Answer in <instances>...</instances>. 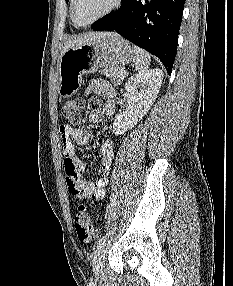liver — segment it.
<instances>
[{
    "label": "liver",
    "mask_w": 233,
    "mask_h": 286,
    "mask_svg": "<svg viewBox=\"0 0 233 286\" xmlns=\"http://www.w3.org/2000/svg\"><path fill=\"white\" fill-rule=\"evenodd\" d=\"M110 35H116V34L112 33V32H90V33L85 34L83 36L74 37L73 39H70L69 41H67L65 43L64 49H63L61 55L64 52H66L69 48L97 40L100 37H105V36H110Z\"/></svg>",
    "instance_id": "obj_1"
}]
</instances>
